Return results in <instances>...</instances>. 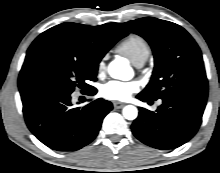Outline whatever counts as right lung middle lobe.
Segmentation results:
<instances>
[{
	"label": "right lung middle lobe",
	"mask_w": 220,
	"mask_h": 173,
	"mask_svg": "<svg viewBox=\"0 0 220 173\" xmlns=\"http://www.w3.org/2000/svg\"><path fill=\"white\" fill-rule=\"evenodd\" d=\"M100 60L91 57L83 46L69 41H52L39 52L29 70L33 86H45L73 92L75 88L91 89L96 81Z\"/></svg>",
	"instance_id": "right-lung-middle-lobe-1"
}]
</instances>
